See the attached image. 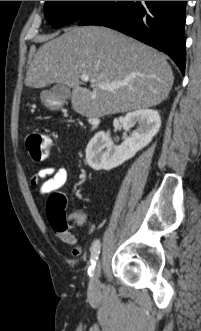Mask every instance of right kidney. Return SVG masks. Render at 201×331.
Here are the masks:
<instances>
[{
	"label": "right kidney",
	"mask_w": 201,
	"mask_h": 331,
	"mask_svg": "<svg viewBox=\"0 0 201 331\" xmlns=\"http://www.w3.org/2000/svg\"><path fill=\"white\" fill-rule=\"evenodd\" d=\"M137 125L129 136L124 135L121 145H114L109 136L100 131L94 135L86 147V162L94 170H111L131 159L146 147L161 126L160 115L151 109H141L128 113L123 120L126 131Z\"/></svg>",
	"instance_id": "obj_1"
}]
</instances>
